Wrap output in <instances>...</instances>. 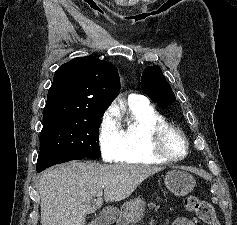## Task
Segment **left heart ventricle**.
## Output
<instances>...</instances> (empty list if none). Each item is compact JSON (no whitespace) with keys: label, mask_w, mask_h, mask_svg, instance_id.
I'll return each mask as SVG.
<instances>
[{"label":"left heart ventricle","mask_w":237,"mask_h":225,"mask_svg":"<svg viewBox=\"0 0 237 225\" xmlns=\"http://www.w3.org/2000/svg\"><path fill=\"white\" fill-rule=\"evenodd\" d=\"M167 147L171 153L176 155L182 154L184 150L181 139L176 135H172L168 138Z\"/></svg>","instance_id":"1"}]
</instances>
